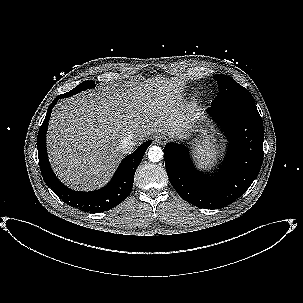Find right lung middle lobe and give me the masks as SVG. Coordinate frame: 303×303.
<instances>
[{"instance_id": "1", "label": "right lung middle lobe", "mask_w": 303, "mask_h": 303, "mask_svg": "<svg viewBox=\"0 0 303 303\" xmlns=\"http://www.w3.org/2000/svg\"><path fill=\"white\" fill-rule=\"evenodd\" d=\"M94 86H95V82L94 81H85V82H82L81 84H79L78 86H76L71 91L65 93L64 95L66 97H70V96H72L74 94H77V93L83 91V90L93 88Z\"/></svg>"}]
</instances>
